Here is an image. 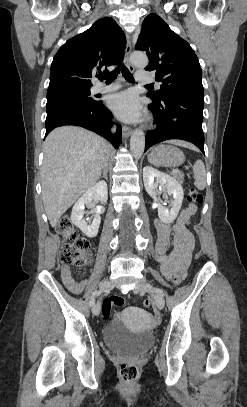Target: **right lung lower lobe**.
I'll list each match as a JSON object with an SVG mask.
<instances>
[{
  "instance_id": "1",
  "label": "right lung lower lobe",
  "mask_w": 247,
  "mask_h": 407,
  "mask_svg": "<svg viewBox=\"0 0 247 407\" xmlns=\"http://www.w3.org/2000/svg\"><path fill=\"white\" fill-rule=\"evenodd\" d=\"M112 124V114L105 108L102 101H97L90 105H61L47 109L45 136L56 127L76 125L103 136L110 141L115 148H118L120 144L119 133L122 132V129L121 126L118 125L117 133L112 135L110 133Z\"/></svg>"
}]
</instances>
